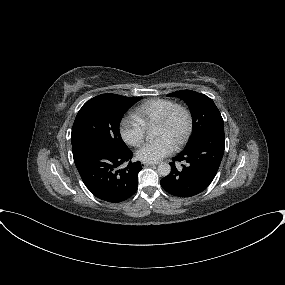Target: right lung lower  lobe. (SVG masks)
<instances>
[{"label":"right lung lower lobe","instance_id":"1","mask_svg":"<svg viewBox=\"0 0 285 285\" xmlns=\"http://www.w3.org/2000/svg\"><path fill=\"white\" fill-rule=\"evenodd\" d=\"M73 158L82 181L97 198L118 203L130 198L137 190L140 162L117 168L132 158V152H115L91 142L72 146Z\"/></svg>","mask_w":285,"mask_h":285}]
</instances>
